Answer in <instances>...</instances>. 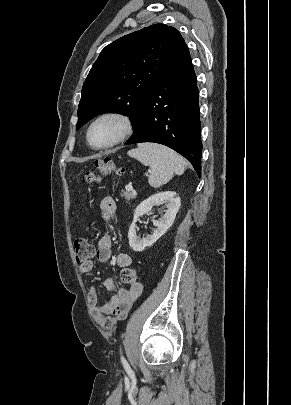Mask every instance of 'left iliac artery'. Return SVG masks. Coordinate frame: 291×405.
Masks as SVG:
<instances>
[{
	"mask_svg": "<svg viewBox=\"0 0 291 405\" xmlns=\"http://www.w3.org/2000/svg\"><path fill=\"white\" fill-rule=\"evenodd\" d=\"M121 360H122V363L124 364V366L128 365L127 361L125 360V358L123 356H121Z\"/></svg>",
	"mask_w": 291,
	"mask_h": 405,
	"instance_id": "left-iliac-artery-1",
	"label": "left iliac artery"
}]
</instances>
